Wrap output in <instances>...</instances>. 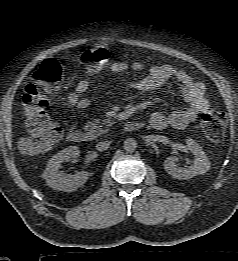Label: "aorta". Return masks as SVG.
<instances>
[{
    "instance_id": "aorta-1",
    "label": "aorta",
    "mask_w": 238,
    "mask_h": 261,
    "mask_svg": "<svg viewBox=\"0 0 238 261\" xmlns=\"http://www.w3.org/2000/svg\"><path fill=\"white\" fill-rule=\"evenodd\" d=\"M137 148V142L134 138H127L124 141V149L127 152H134Z\"/></svg>"
}]
</instances>
